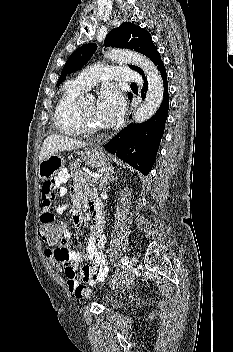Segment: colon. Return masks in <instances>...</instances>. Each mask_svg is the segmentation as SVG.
Wrapping results in <instances>:
<instances>
[{
	"instance_id": "obj_1",
	"label": "colon",
	"mask_w": 233,
	"mask_h": 352,
	"mask_svg": "<svg viewBox=\"0 0 233 352\" xmlns=\"http://www.w3.org/2000/svg\"><path fill=\"white\" fill-rule=\"evenodd\" d=\"M38 233L41 239L49 245L59 246L65 242L64 233L56 225L42 223ZM73 292L79 299H86L91 295L90 290L84 285H77Z\"/></svg>"
}]
</instances>
